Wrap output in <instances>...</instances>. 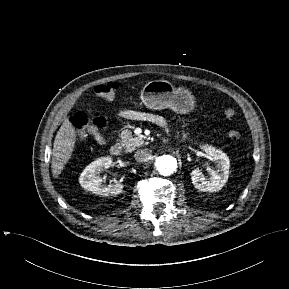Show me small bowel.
Listing matches in <instances>:
<instances>
[{
    "mask_svg": "<svg viewBox=\"0 0 289 289\" xmlns=\"http://www.w3.org/2000/svg\"><path fill=\"white\" fill-rule=\"evenodd\" d=\"M119 115L125 119H146L152 123H155L156 125L164 127L166 125V121L164 120L163 117L155 114H145L133 109L129 108H124L121 109L119 112ZM89 133L94 137V139L100 143L104 144L105 143V138L104 136L99 132L98 129L96 128H91L89 130Z\"/></svg>",
    "mask_w": 289,
    "mask_h": 289,
    "instance_id": "c3829d8e",
    "label": "small bowel"
}]
</instances>
